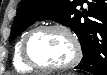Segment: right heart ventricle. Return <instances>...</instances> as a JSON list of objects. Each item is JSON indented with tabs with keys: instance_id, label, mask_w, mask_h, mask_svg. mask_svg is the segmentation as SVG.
I'll use <instances>...</instances> for the list:
<instances>
[{
	"instance_id": "obj_1",
	"label": "right heart ventricle",
	"mask_w": 107,
	"mask_h": 75,
	"mask_svg": "<svg viewBox=\"0 0 107 75\" xmlns=\"http://www.w3.org/2000/svg\"><path fill=\"white\" fill-rule=\"evenodd\" d=\"M27 34V33H26ZM25 34V35H26ZM25 35H23L18 42L15 45V49H14V55H13V65L15 67V69L17 71L20 72H30L33 70V68H31L30 66H28L22 59L21 56V45H22V41L25 37Z\"/></svg>"
}]
</instances>
